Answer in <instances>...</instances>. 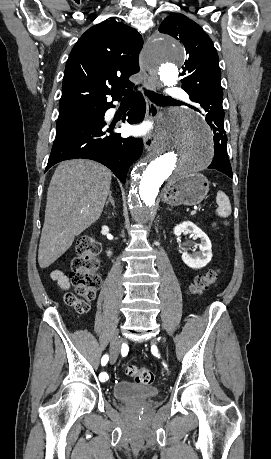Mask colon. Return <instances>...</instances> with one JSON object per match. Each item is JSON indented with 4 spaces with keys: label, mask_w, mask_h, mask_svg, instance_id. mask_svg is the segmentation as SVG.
Masks as SVG:
<instances>
[{
    "label": "colon",
    "mask_w": 271,
    "mask_h": 459,
    "mask_svg": "<svg viewBox=\"0 0 271 459\" xmlns=\"http://www.w3.org/2000/svg\"><path fill=\"white\" fill-rule=\"evenodd\" d=\"M99 243L90 235L80 236L76 243V256L71 263L70 279L74 292L65 295V302L76 313L84 314L89 310V303L95 297L100 287L101 279L97 273L99 268ZM218 270H210L195 278L190 286L192 294H200L211 288L218 278ZM126 372L138 383L149 385L154 380V374L146 368L127 365Z\"/></svg>",
    "instance_id": "obj_1"
}]
</instances>
